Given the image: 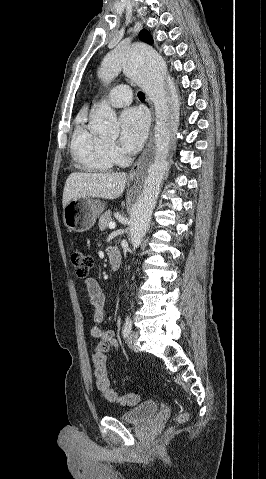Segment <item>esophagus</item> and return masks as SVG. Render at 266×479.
I'll return each mask as SVG.
<instances>
[{"label": "esophagus", "instance_id": "34e87169", "mask_svg": "<svg viewBox=\"0 0 266 479\" xmlns=\"http://www.w3.org/2000/svg\"><path fill=\"white\" fill-rule=\"evenodd\" d=\"M150 104V109H151V114H152V117L154 118V111H153V106L151 103ZM149 145H147L148 147ZM147 147L146 149L144 150V152L142 153V155L140 156V158L137 160V162L133 165V167L131 168L130 172H129V177L130 178H134L137 176V174L139 173L140 171V168H141V165L144 161V158H145V155H146V152H147Z\"/></svg>", "mask_w": 266, "mask_h": 479}]
</instances>
